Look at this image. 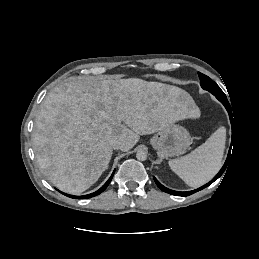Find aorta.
Listing matches in <instances>:
<instances>
[{
  "mask_svg": "<svg viewBox=\"0 0 259 259\" xmlns=\"http://www.w3.org/2000/svg\"><path fill=\"white\" fill-rule=\"evenodd\" d=\"M136 158L139 161H145L147 159V153L145 151H143V150H139L136 153Z\"/></svg>",
  "mask_w": 259,
  "mask_h": 259,
  "instance_id": "aorta-1",
  "label": "aorta"
}]
</instances>
